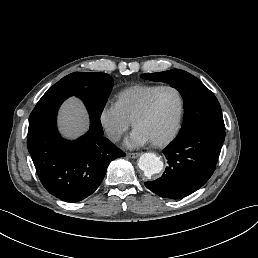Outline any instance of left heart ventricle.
Masks as SVG:
<instances>
[{
  "label": "left heart ventricle",
  "mask_w": 258,
  "mask_h": 258,
  "mask_svg": "<svg viewBox=\"0 0 258 258\" xmlns=\"http://www.w3.org/2000/svg\"><path fill=\"white\" fill-rule=\"evenodd\" d=\"M178 108V96L173 90L158 92L153 99L149 115L141 123V133L157 139L170 136L176 125Z\"/></svg>",
  "instance_id": "1"
}]
</instances>
